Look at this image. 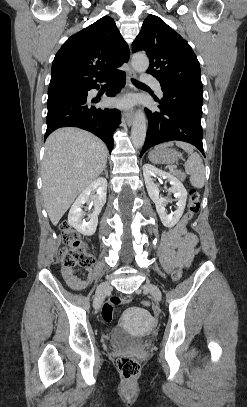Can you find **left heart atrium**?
Listing matches in <instances>:
<instances>
[{
	"label": "left heart atrium",
	"mask_w": 247,
	"mask_h": 407,
	"mask_svg": "<svg viewBox=\"0 0 247 407\" xmlns=\"http://www.w3.org/2000/svg\"><path fill=\"white\" fill-rule=\"evenodd\" d=\"M131 104V101L128 99H123L117 102V105L121 107H128Z\"/></svg>",
	"instance_id": "left-heart-atrium-1"
}]
</instances>
